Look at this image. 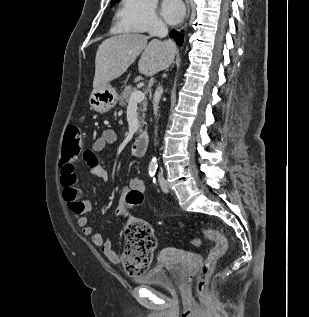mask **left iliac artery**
Here are the masks:
<instances>
[{"label":"left iliac artery","mask_w":309,"mask_h":317,"mask_svg":"<svg viewBox=\"0 0 309 317\" xmlns=\"http://www.w3.org/2000/svg\"><path fill=\"white\" fill-rule=\"evenodd\" d=\"M153 181H154V183L156 182L155 178H154V180H153Z\"/></svg>","instance_id":"1"}]
</instances>
